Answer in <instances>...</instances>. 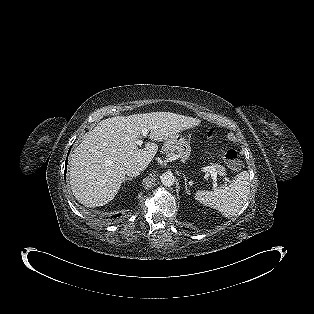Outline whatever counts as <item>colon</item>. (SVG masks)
Listing matches in <instances>:
<instances>
[{"instance_id": "obj_1", "label": "colon", "mask_w": 314, "mask_h": 314, "mask_svg": "<svg viewBox=\"0 0 314 314\" xmlns=\"http://www.w3.org/2000/svg\"><path fill=\"white\" fill-rule=\"evenodd\" d=\"M208 135L213 137L216 135V129L214 127H210L208 129ZM222 157L225 163L233 170H237L240 168V160L238 153L234 149H223L221 151Z\"/></svg>"}]
</instances>
